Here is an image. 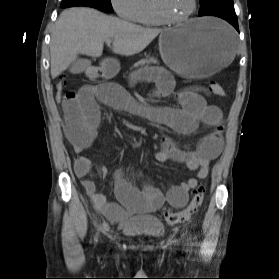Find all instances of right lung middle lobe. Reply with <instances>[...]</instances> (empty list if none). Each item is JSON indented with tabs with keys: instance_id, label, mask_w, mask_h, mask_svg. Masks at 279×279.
<instances>
[{
	"instance_id": "1",
	"label": "right lung middle lobe",
	"mask_w": 279,
	"mask_h": 279,
	"mask_svg": "<svg viewBox=\"0 0 279 279\" xmlns=\"http://www.w3.org/2000/svg\"><path fill=\"white\" fill-rule=\"evenodd\" d=\"M99 6L108 12H112V5L110 0H94Z\"/></svg>"
}]
</instances>
